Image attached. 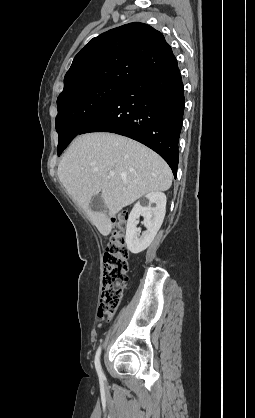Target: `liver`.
Here are the masks:
<instances>
[{
	"instance_id": "1",
	"label": "liver",
	"mask_w": 255,
	"mask_h": 418,
	"mask_svg": "<svg viewBox=\"0 0 255 418\" xmlns=\"http://www.w3.org/2000/svg\"><path fill=\"white\" fill-rule=\"evenodd\" d=\"M114 176L110 177L109 173ZM58 177L72 199L107 236L110 217L145 194L166 191L172 184L168 164L141 143L113 133L78 136L58 165ZM101 192L108 215L94 212L91 200Z\"/></svg>"
}]
</instances>
